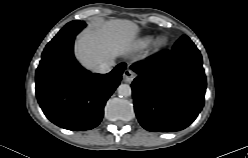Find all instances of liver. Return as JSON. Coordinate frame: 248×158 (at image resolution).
Segmentation results:
<instances>
[{
  "mask_svg": "<svg viewBox=\"0 0 248 158\" xmlns=\"http://www.w3.org/2000/svg\"><path fill=\"white\" fill-rule=\"evenodd\" d=\"M138 32V25L130 20L97 23L79 36L75 55L84 67L96 72L101 63L130 53L136 45Z\"/></svg>",
  "mask_w": 248,
  "mask_h": 158,
  "instance_id": "6515ba94",
  "label": "liver"
}]
</instances>
